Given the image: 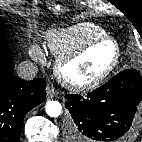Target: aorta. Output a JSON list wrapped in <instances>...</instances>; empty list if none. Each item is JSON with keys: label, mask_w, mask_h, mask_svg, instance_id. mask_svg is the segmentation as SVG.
<instances>
[{"label": "aorta", "mask_w": 142, "mask_h": 142, "mask_svg": "<svg viewBox=\"0 0 142 142\" xmlns=\"http://www.w3.org/2000/svg\"><path fill=\"white\" fill-rule=\"evenodd\" d=\"M45 110L50 117H58L62 112V106L58 101H48Z\"/></svg>", "instance_id": "1"}]
</instances>
